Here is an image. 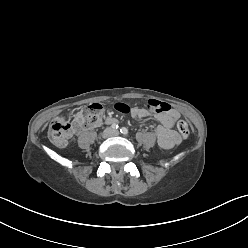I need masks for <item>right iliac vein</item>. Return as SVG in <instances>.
<instances>
[{"label":"right iliac vein","mask_w":248,"mask_h":248,"mask_svg":"<svg viewBox=\"0 0 248 248\" xmlns=\"http://www.w3.org/2000/svg\"><path fill=\"white\" fill-rule=\"evenodd\" d=\"M111 135H112V130L108 128V129H106V130L103 131V133H102V138H103V139H107V138H109Z\"/></svg>","instance_id":"right-iliac-vein-1"}]
</instances>
